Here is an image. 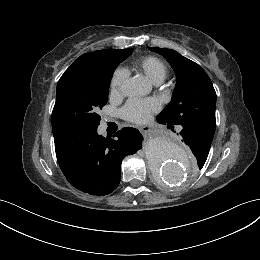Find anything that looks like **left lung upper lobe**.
<instances>
[{
	"label": "left lung upper lobe",
	"mask_w": 260,
	"mask_h": 260,
	"mask_svg": "<svg viewBox=\"0 0 260 260\" xmlns=\"http://www.w3.org/2000/svg\"><path fill=\"white\" fill-rule=\"evenodd\" d=\"M149 49L164 56L176 73L172 99L158 117L172 125L193 124L214 135L216 92L207 73L172 49ZM203 166L204 163H198L199 169Z\"/></svg>",
	"instance_id": "5c2ea615"
}]
</instances>
